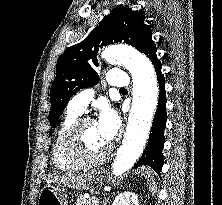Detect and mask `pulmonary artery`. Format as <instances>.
<instances>
[{
  "label": "pulmonary artery",
  "instance_id": "e3ab8cb5",
  "mask_svg": "<svg viewBox=\"0 0 222 205\" xmlns=\"http://www.w3.org/2000/svg\"><path fill=\"white\" fill-rule=\"evenodd\" d=\"M108 83L116 89L126 88L129 85L128 75L120 70H110L108 72ZM94 96L93 89H84L78 92L69 102L68 110L81 114L86 109Z\"/></svg>",
  "mask_w": 222,
  "mask_h": 205
}]
</instances>
